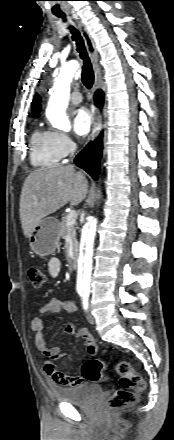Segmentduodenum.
<instances>
[{"instance_id":"1","label":"duodenum","mask_w":174,"mask_h":440,"mask_svg":"<svg viewBox=\"0 0 174 440\" xmlns=\"http://www.w3.org/2000/svg\"><path fill=\"white\" fill-rule=\"evenodd\" d=\"M79 258L77 252H74L70 259V264L73 269H77L79 266Z\"/></svg>"}]
</instances>
